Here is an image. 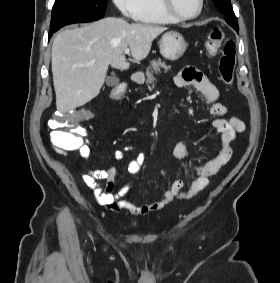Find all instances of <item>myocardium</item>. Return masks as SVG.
Here are the masks:
<instances>
[{
    "label": "myocardium",
    "instance_id": "1",
    "mask_svg": "<svg viewBox=\"0 0 280 283\" xmlns=\"http://www.w3.org/2000/svg\"><path fill=\"white\" fill-rule=\"evenodd\" d=\"M161 6L163 10L172 18L178 20V21H188L193 20L199 17V15L202 13L204 9V0H199V7L196 13L193 15H183L180 14L173 6L172 0H160Z\"/></svg>",
    "mask_w": 280,
    "mask_h": 283
}]
</instances>
